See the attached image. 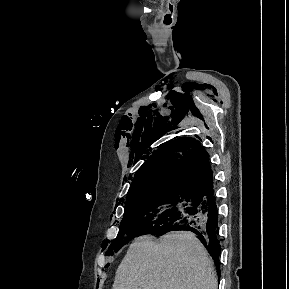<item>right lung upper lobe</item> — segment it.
Instances as JSON below:
<instances>
[{
	"mask_svg": "<svg viewBox=\"0 0 289 289\" xmlns=\"http://www.w3.org/2000/svg\"><path fill=\"white\" fill-rule=\"evenodd\" d=\"M211 187L208 153L198 140L180 138L160 147L135 173L127 200L171 192L199 195Z\"/></svg>",
	"mask_w": 289,
	"mask_h": 289,
	"instance_id": "obj_1",
	"label": "right lung upper lobe"
}]
</instances>
